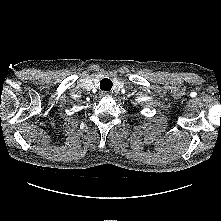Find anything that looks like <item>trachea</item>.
Here are the masks:
<instances>
[{
  "label": "trachea",
  "mask_w": 221,
  "mask_h": 221,
  "mask_svg": "<svg viewBox=\"0 0 221 221\" xmlns=\"http://www.w3.org/2000/svg\"><path fill=\"white\" fill-rule=\"evenodd\" d=\"M113 86V83L110 79L104 78L100 81V89L104 91H110Z\"/></svg>",
  "instance_id": "obj_1"
}]
</instances>
